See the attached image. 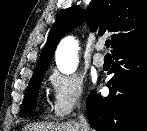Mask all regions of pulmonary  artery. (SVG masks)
Returning <instances> with one entry per match:
<instances>
[{"label": "pulmonary artery", "instance_id": "1", "mask_svg": "<svg viewBox=\"0 0 147 131\" xmlns=\"http://www.w3.org/2000/svg\"><path fill=\"white\" fill-rule=\"evenodd\" d=\"M104 47V42H99L96 44L97 53L93 56V63L96 67H102L105 63V57L99 51H101Z\"/></svg>", "mask_w": 147, "mask_h": 131}]
</instances>
